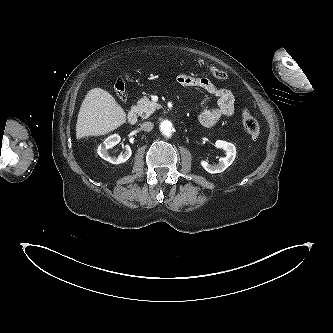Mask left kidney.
Returning <instances> with one entry per match:
<instances>
[{
    "instance_id": "5707ae66",
    "label": "left kidney",
    "mask_w": 333,
    "mask_h": 333,
    "mask_svg": "<svg viewBox=\"0 0 333 333\" xmlns=\"http://www.w3.org/2000/svg\"><path fill=\"white\" fill-rule=\"evenodd\" d=\"M216 148H222L226 151V157L219 159L218 165H210L207 161L201 160V166L211 174L221 173L223 172L228 166L232 164L236 157V147L232 143H228L223 140H217L215 142Z\"/></svg>"
}]
</instances>
